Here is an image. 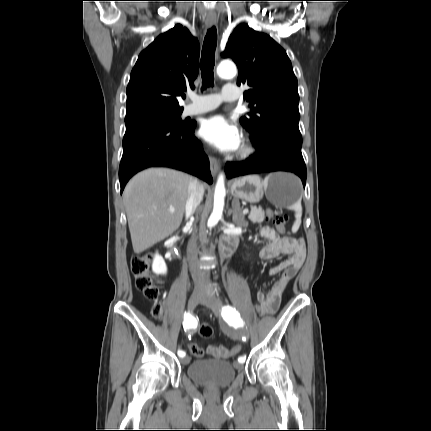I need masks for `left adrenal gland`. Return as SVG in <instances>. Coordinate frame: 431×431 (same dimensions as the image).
Listing matches in <instances>:
<instances>
[{
	"instance_id": "1",
	"label": "left adrenal gland",
	"mask_w": 431,
	"mask_h": 431,
	"mask_svg": "<svg viewBox=\"0 0 431 431\" xmlns=\"http://www.w3.org/2000/svg\"><path fill=\"white\" fill-rule=\"evenodd\" d=\"M233 213L232 220L234 223L238 225H245L244 216L241 214L240 203L238 200H233L232 202V210Z\"/></svg>"
}]
</instances>
